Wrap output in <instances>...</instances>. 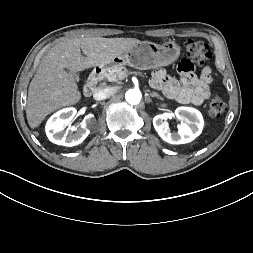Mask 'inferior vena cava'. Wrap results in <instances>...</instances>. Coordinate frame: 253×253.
Returning a JSON list of instances; mask_svg holds the SVG:
<instances>
[{"label":"inferior vena cava","instance_id":"obj_1","mask_svg":"<svg viewBox=\"0 0 253 253\" xmlns=\"http://www.w3.org/2000/svg\"><path fill=\"white\" fill-rule=\"evenodd\" d=\"M114 94V90L112 88L106 87V88H97L93 94V97L95 100L100 101L104 100L111 95Z\"/></svg>","mask_w":253,"mask_h":253}]
</instances>
